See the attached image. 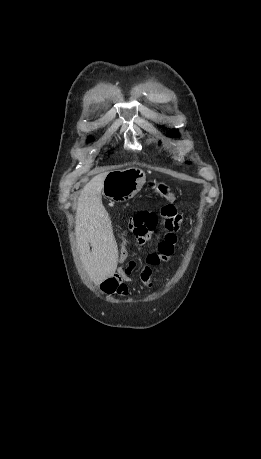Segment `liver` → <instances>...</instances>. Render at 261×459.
I'll list each match as a JSON object with an SVG mask.
<instances>
[{
  "label": "liver",
  "mask_w": 261,
  "mask_h": 459,
  "mask_svg": "<svg viewBox=\"0 0 261 459\" xmlns=\"http://www.w3.org/2000/svg\"><path fill=\"white\" fill-rule=\"evenodd\" d=\"M109 173L97 174L84 186L76 210L78 251L87 274L97 285L112 276L118 265L117 243L101 198L104 180Z\"/></svg>",
  "instance_id": "6515ba94"
}]
</instances>
